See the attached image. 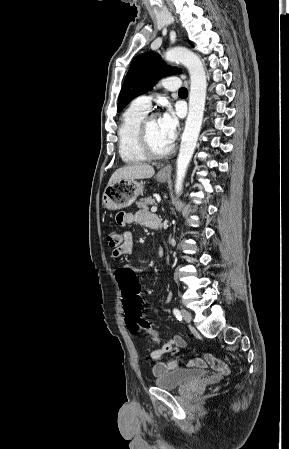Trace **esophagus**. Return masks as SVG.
Returning <instances> with one entry per match:
<instances>
[{"instance_id": "obj_1", "label": "esophagus", "mask_w": 289, "mask_h": 449, "mask_svg": "<svg viewBox=\"0 0 289 449\" xmlns=\"http://www.w3.org/2000/svg\"><path fill=\"white\" fill-rule=\"evenodd\" d=\"M171 164H166L162 169H161V171L162 172H166V173H169V172H171Z\"/></svg>"}]
</instances>
